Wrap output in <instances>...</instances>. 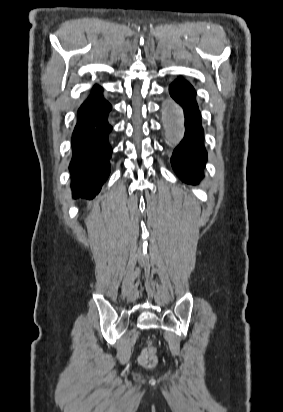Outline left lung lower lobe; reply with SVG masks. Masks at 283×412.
Returning <instances> with one entry per match:
<instances>
[{
  "label": "left lung lower lobe",
  "mask_w": 283,
  "mask_h": 412,
  "mask_svg": "<svg viewBox=\"0 0 283 412\" xmlns=\"http://www.w3.org/2000/svg\"><path fill=\"white\" fill-rule=\"evenodd\" d=\"M170 95L179 103L185 115V136L174 150L171 163L176 174L186 183L197 184L203 177L207 152L203 146L201 116L195 100V90L183 79L169 87Z\"/></svg>",
  "instance_id": "obj_1"
}]
</instances>
